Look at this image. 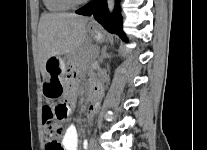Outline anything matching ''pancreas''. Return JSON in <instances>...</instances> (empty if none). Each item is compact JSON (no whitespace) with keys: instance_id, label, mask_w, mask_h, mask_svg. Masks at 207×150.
Here are the masks:
<instances>
[{"instance_id":"1","label":"pancreas","mask_w":207,"mask_h":150,"mask_svg":"<svg viewBox=\"0 0 207 150\" xmlns=\"http://www.w3.org/2000/svg\"><path fill=\"white\" fill-rule=\"evenodd\" d=\"M95 58V48H86L78 56L77 61L80 63V66L90 65Z\"/></svg>"}]
</instances>
